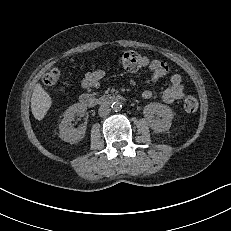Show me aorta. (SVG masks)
I'll return each mask as SVG.
<instances>
[{"label":"aorta","instance_id":"obj_1","mask_svg":"<svg viewBox=\"0 0 231 231\" xmlns=\"http://www.w3.org/2000/svg\"><path fill=\"white\" fill-rule=\"evenodd\" d=\"M111 107H112V110H113V111L117 112V111H120V110H121L122 104H121L120 101L117 100V101H114V102L112 103Z\"/></svg>","mask_w":231,"mask_h":231}]
</instances>
